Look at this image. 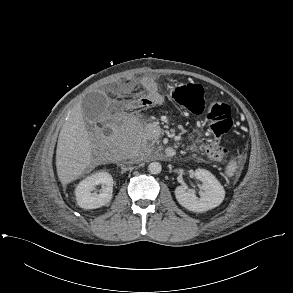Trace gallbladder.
<instances>
[{"label": "gallbladder", "instance_id": "bac80fb5", "mask_svg": "<svg viewBox=\"0 0 293 293\" xmlns=\"http://www.w3.org/2000/svg\"><path fill=\"white\" fill-rule=\"evenodd\" d=\"M107 108V97L98 92L88 93L82 100L81 109L86 121L97 120Z\"/></svg>", "mask_w": 293, "mask_h": 293}]
</instances>
